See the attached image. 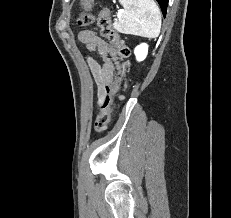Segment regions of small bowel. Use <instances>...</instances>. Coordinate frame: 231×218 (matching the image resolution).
Listing matches in <instances>:
<instances>
[{
    "label": "small bowel",
    "instance_id": "1",
    "mask_svg": "<svg viewBox=\"0 0 231 218\" xmlns=\"http://www.w3.org/2000/svg\"><path fill=\"white\" fill-rule=\"evenodd\" d=\"M78 38L90 51L97 53L102 58V63L91 56L87 58L97 87L98 104L105 89L113 84L115 73L119 70L117 57L112 47L92 30H82ZM119 74L123 76L122 73Z\"/></svg>",
    "mask_w": 231,
    "mask_h": 218
}]
</instances>
